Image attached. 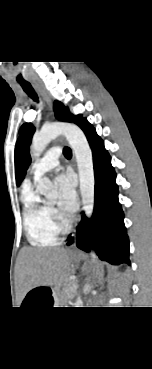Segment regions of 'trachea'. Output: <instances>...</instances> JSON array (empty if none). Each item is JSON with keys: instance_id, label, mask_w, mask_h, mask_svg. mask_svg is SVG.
<instances>
[{"instance_id": "obj_1", "label": "trachea", "mask_w": 152, "mask_h": 369, "mask_svg": "<svg viewBox=\"0 0 152 369\" xmlns=\"http://www.w3.org/2000/svg\"><path fill=\"white\" fill-rule=\"evenodd\" d=\"M23 90L28 94L29 97H31L34 101L38 102V96L34 89L32 88L31 84L29 83H22L21 84ZM63 154L66 158L72 157V151L69 147H64Z\"/></svg>"}]
</instances>
